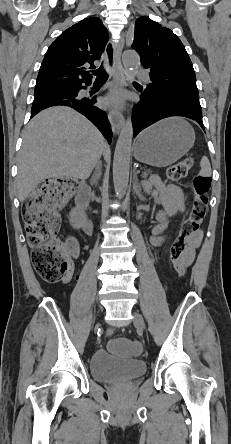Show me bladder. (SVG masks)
I'll list each match as a JSON object with an SVG mask.
<instances>
[{"label": "bladder", "mask_w": 231, "mask_h": 444, "mask_svg": "<svg viewBox=\"0 0 231 444\" xmlns=\"http://www.w3.org/2000/svg\"><path fill=\"white\" fill-rule=\"evenodd\" d=\"M146 363L138 359H120L105 349L95 351L90 359V371L99 382L132 380L146 372Z\"/></svg>", "instance_id": "31cf9c89"}]
</instances>
